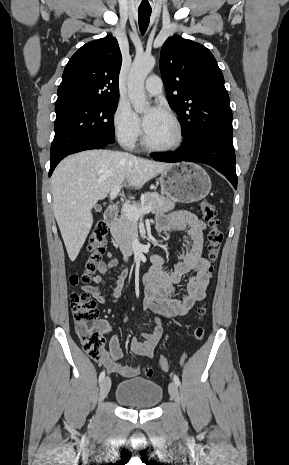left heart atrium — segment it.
<instances>
[{"mask_svg":"<svg viewBox=\"0 0 289 465\" xmlns=\"http://www.w3.org/2000/svg\"><path fill=\"white\" fill-rule=\"evenodd\" d=\"M162 112V109L158 106H152L148 109L143 117V128L145 131L151 128Z\"/></svg>","mask_w":289,"mask_h":465,"instance_id":"left-heart-atrium-1","label":"left heart atrium"}]
</instances>
